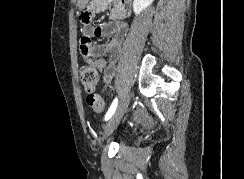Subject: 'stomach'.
Here are the masks:
<instances>
[{
    "label": "stomach",
    "instance_id": "0dacf381",
    "mask_svg": "<svg viewBox=\"0 0 244 179\" xmlns=\"http://www.w3.org/2000/svg\"><path fill=\"white\" fill-rule=\"evenodd\" d=\"M78 1H79L78 7L79 8H84L85 7L84 3H87L88 0H78Z\"/></svg>",
    "mask_w": 244,
    "mask_h": 179
}]
</instances>
